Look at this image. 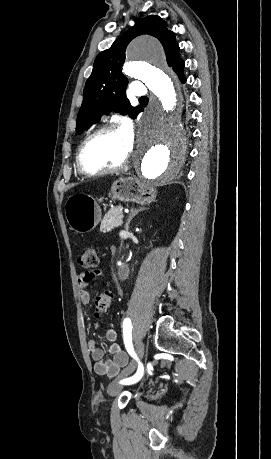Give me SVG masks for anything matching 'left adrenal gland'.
<instances>
[{"label":"left adrenal gland","mask_w":271,"mask_h":459,"mask_svg":"<svg viewBox=\"0 0 271 459\" xmlns=\"http://www.w3.org/2000/svg\"><path fill=\"white\" fill-rule=\"evenodd\" d=\"M142 210H147V208H131L130 214L127 218V222L125 224V229H129V224L131 220H133L134 216H137L138 212H142Z\"/></svg>","instance_id":"left-adrenal-gland-1"}]
</instances>
